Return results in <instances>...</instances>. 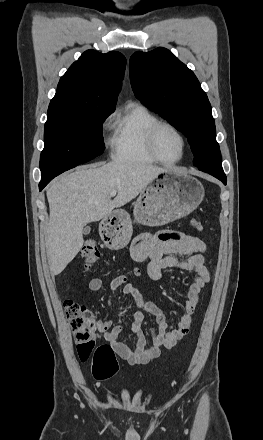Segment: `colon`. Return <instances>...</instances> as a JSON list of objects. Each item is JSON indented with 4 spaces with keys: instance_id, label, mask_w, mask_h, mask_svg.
Listing matches in <instances>:
<instances>
[{
    "instance_id": "colon-1",
    "label": "colon",
    "mask_w": 263,
    "mask_h": 440,
    "mask_svg": "<svg viewBox=\"0 0 263 440\" xmlns=\"http://www.w3.org/2000/svg\"><path fill=\"white\" fill-rule=\"evenodd\" d=\"M192 227L203 232L202 223L196 219L191 221ZM81 258L86 264L95 263L100 257V251L93 239H87L81 251ZM65 314L70 323L76 340V351L80 360L86 361L92 357V372L96 379L112 378L118 371L114 351L110 345H97L99 328L92 312L82 303L67 299L64 302Z\"/></svg>"
}]
</instances>
